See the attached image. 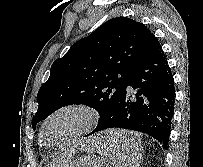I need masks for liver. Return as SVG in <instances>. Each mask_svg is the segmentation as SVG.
Returning a JSON list of instances; mask_svg holds the SVG:
<instances>
[{"label": "liver", "instance_id": "obj_1", "mask_svg": "<svg viewBox=\"0 0 203 167\" xmlns=\"http://www.w3.org/2000/svg\"><path fill=\"white\" fill-rule=\"evenodd\" d=\"M139 135L137 133L129 132V131H121V130H112L107 132L106 137H102L97 144H100L104 141H119L124 147H131L135 140ZM72 159V155H60L59 157L52 160L47 167H68L70 161Z\"/></svg>", "mask_w": 203, "mask_h": 167}]
</instances>
